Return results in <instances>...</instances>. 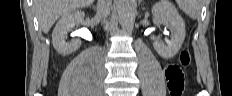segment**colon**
<instances>
[{
    "label": "colon",
    "instance_id": "1",
    "mask_svg": "<svg viewBox=\"0 0 232 96\" xmlns=\"http://www.w3.org/2000/svg\"><path fill=\"white\" fill-rule=\"evenodd\" d=\"M190 64V53L188 49H183L180 53L179 65L171 64L165 69L166 79L170 95L180 96L184 90V78L181 67H186Z\"/></svg>",
    "mask_w": 232,
    "mask_h": 96
}]
</instances>
